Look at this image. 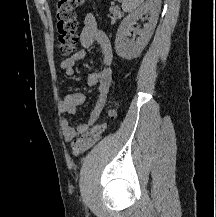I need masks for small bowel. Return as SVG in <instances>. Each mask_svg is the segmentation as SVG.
<instances>
[{
    "mask_svg": "<svg viewBox=\"0 0 216 217\" xmlns=\"http://www.w3.org/2000/svg\"><path fill=\"white\" fill-rule=\"evenodd\" d=\"M79 41L83 48L74 53L70 58L63 60L60 68L67 77H73L75 75L76 64L86 56V49L97 43L100 46L102 54L101 67L98 71L88 75L87 84L89 86H98V94L95 105L86 122L73 126L66 118L61 121L60 129L65 142L75 140L86 132L89 126L98 121L109 96L113 81L112 47L106 34L98 29L97 21L93 14H87L84 17ZM85 101L86 95L83 92L68 94L60 100L59 111L65 115H75L77 107L84 104Z\"/></svg>",
    "mask_w": 216,
    "mask_h": 217,
    "instance_id": "1",
    "label": "small bowel"
}]
</instances>
